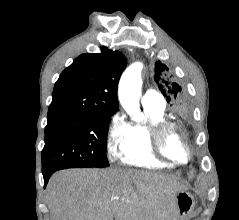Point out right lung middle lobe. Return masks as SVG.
<instances>
[{"label":"right lung middle lobe","mask_w":239,"mask_h":220,"mask_svg":"<svg viewBox=\"0 0 239 220\" xmlns=\"http://www.w3.org/2000/svg\"><path fill=\"white\" fill-rule=\"evenodd\" d=\"M113 114L48 116L42 173L74 167H108L107 133Z\"/></svg>","instance_id":"obj_1"}]
</instances>
